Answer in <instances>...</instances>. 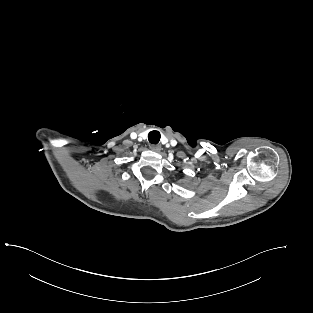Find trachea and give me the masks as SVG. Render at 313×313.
<instances>
[{
  "mask_svg": "<svg viewBox=\"0 0 313 313\" xmlns=\"http://www.w3.org/2000/svg\"><path fill=\"white\" fill-rule=\"evenodd\" d=\"M161 135L158 131H151L148 134V140L152 144H157L160 141Z\"/></svg>",
  "mask_w": 313,
  "mask_h": 313,
  "instance_id": "trachea-1",
  "label": "trachea"
}]
</instances>
